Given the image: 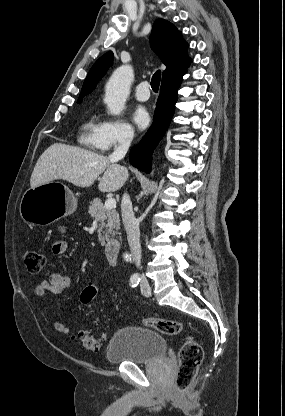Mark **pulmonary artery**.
Instances as JSON below:
<instances>
[{
    "mask_svg": "<svg viewBox=\"0 0 285 416\" xmlns=\"http://www.w3.org/2000/svg\"><path fill=\"white\" fill-rule=\"evenodd\" d=\"M148 85L147 81H142L135 87V97L138 100L145 101L149 98L148 89L146 88Z\"/></svg>",
    "mask_w": 285,
    "mask_h": 416,
    "instance_id": "pulmonary-artery-1",
    "label": "pulmonary artery"
}]
</instances>
